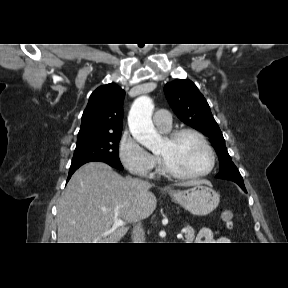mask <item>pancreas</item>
<instances>
[{
	"label": "pancreas",
	"instance_id": "cf45deb5",
	"mask_svg": "<svg viewBox=\"0 0 288 288\" xmlns=\"http://www.w3.org/2000/svg\"><path fill=\"white\" fill-rule=\"evenodd\" d=\"M184 233H185V239H184L185 243H191L195 238L194 229L192 227L187 226L185 228Z\"/></svg>",
	"mask_w": 288,
	"mask_h": 288
}]
</instances>
